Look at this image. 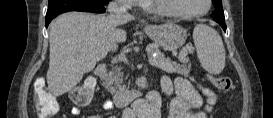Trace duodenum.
<instances>
[{
	"label": "duodenum",
	"instance_id": "obj_1",
	"mask_svg": "<svg viewBox=\"0 0 273 118\" xmlns=\"http://www.w3.org/2000/svg\"><path fill=\"white\" fill-rule=\"evenodd\" d=\"M107 66L106 64H98L95 67L94 74L95 76L102 80L106 76ZM142 94V90H119L111 95V102L116 107H124L131 103L134 99L139 97Z\"/></svg>",
	"mask_w": 273,
	"mask_h": 118
}]
</instances>
